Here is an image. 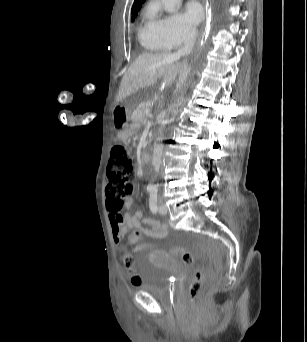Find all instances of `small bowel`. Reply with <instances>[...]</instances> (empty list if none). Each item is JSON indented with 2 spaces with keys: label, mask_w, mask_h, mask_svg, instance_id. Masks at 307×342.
Masks as SVG:
<instances>
[{
  "label": "small bowel",
  "mask_w": 307,
  "mask_h": 342,
  "mask_svg": "<svg viewBox=\"0 0 307 342\" xmlns=\"http://www.w3.org/2000/svg\"><path fill=\"white\" fill-rule=\"evenodd\" d=\"M127 204H131L130 199ZM129 225H134L135 229H144V233H149L150 238L153 239H162L166 237L168 231L166 224L156 220L144 219L141 211H137L134 215L126 213L119 217L111 214L110 227L112 239L115 244H120L126 239V229H128Z\"/></svg>",
  "instance_id": "small-bowel-1"
}]
</instances>
